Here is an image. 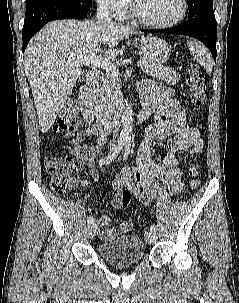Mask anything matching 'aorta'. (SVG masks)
<instances>
[{"instance_id":"aorta-1","label":"aorta","mask_w":239,"mask_h":303,"mask_svg":"<svg viewBox=\"0 0 239 303\" xmlns=\"http://www.w3.org/2000/svg\"><path fill=\"white\" fill-rule=\"evenodd\" d=\"M132 124H133V110L132 108L126 109L125 113L121 118V132L120 139L124 142H129L131 140V132H132Z\"/></svg>"}]
</instances>
